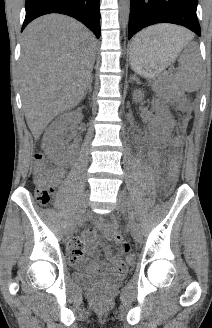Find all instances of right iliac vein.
Listing matches in <instances>:
<instances>
[{"mask_svg": "<svg viewBox=\"0 0 212 328\" xmlns=\"http://www.w3.org/2000/svg\"><path fill=\"white\" fill-rule=\"evenodd\" d=\"M88 197H89V192H86L83 195L81 201L79 202L76 213L68 226V230H67L68 236H71L73 234L78 220L82 217L83 213L85 212L88 204Z\"/></svg>", "mask_w": 212, "mask_h": 328, "instance_id": "obj_1", "label": "right iliac vein"}]
</instances>
